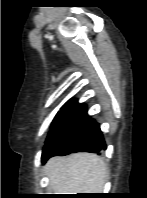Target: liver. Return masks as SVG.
<instances>
[{
  "mask_svg": "<svg viewBox=\"0 0 147 198\" xmlns=\"http://www.w3.org/2000/svg\"><path fill=\"white\" fill-rule=\"evenodd\" d=\"M44 170L54 194L101 193L108 176L104 161L91 153L53 157Z\"/></svg>",
  "mask_w": 147,
  "mask_h": 198,
  "instance_id": "1",
  "label": "liver"
}]
</instances>
